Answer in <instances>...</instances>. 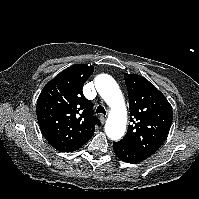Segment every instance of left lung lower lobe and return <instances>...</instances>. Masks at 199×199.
<instances>
[{"instance_id": "left-lung-lower-lobe-1", "label": "left lung lower lobe", "mask_w": 199, "mask_h": 199, "mask_svg": "<svg viewBox=\"0 0 199 199\" xmlns=\"http://www.w3.org/2000/svg\"><path fill=\"white\" fill-rule=\"evenodd\" d=\"M113 149L118 158L127 163H138L148 158L145 154L131 148L121 141L113 142Z\"/></svg>"}]
</instances>
